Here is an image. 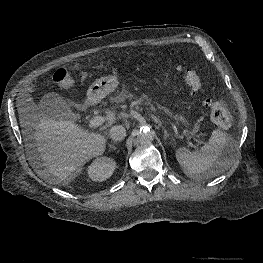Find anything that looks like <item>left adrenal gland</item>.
<instances>
[{"instance_id": "left-adrenal-gland-1", "label": "left adrenal gland", "mask_w": 263, "mask_h": 263, "mask_svg": "<svg viewBox=\"0 0 263 263\" xmlns=\"http://www.w3.org/2000/svg\"><path fill=\"white\" fill-rule=\"evenodd\" d=\"M163 129H164V139L166 140L167 139V137H168V133H167V131L165 130V128L163 127Z\"/></svg>"}]
</instances>
